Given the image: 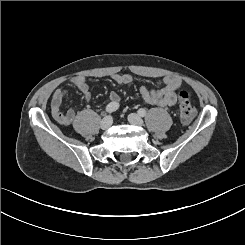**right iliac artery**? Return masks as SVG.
<instances>
[{
    "mask_svg": "<svg viewBox=\"0 0 245 245\" xmlns=\"http://www.w3.org/2000/svg\"><path fill=\"white\" fill-rule=\"evenodd\" d=\"M118 108H119V104H118V103H116V102H111V103H109V104L107 105V107H106V112H107L108 114H110V113L116 111Z\"/></svg>",
    "mask_w": 245,
    "mask_h": 245,
    "instance_id": "obj_1",
    "label": "right iliac artery"
}]
</instances>
